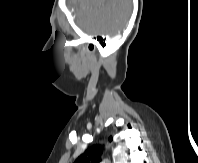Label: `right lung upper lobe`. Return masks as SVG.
<instances>
[{
    "mask_svg": "<svg viewBox=\"0 0 198 163\" xmlns=\"http://www.w3.org/2000/svg\"><path fill=\"white\" fill-rule=\"evenodd\" d=\"M112 141V137L109 138ZM103 149L99 145L89 147L82 155H80L74 163H99Z\"/></svg>",
    "mask_w": 198,
    "mask_h": 163,
    "instance_id": "cb5924a9",
    "label": "right lung upper lobe"
}]
</instances>
